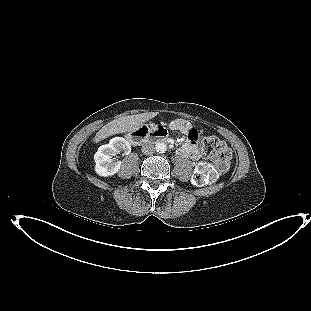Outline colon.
I'll return each instance as SVG.
<instances>
[{
	"label": "colon",
	"instance_id": "5ec220e1",
	"mask_svg": "<svg viewBox=\"0 0 311 311\" xmlns=\"http://www.w3.org/2000/svg\"><path fill=\"white\" fill-rule=\"evenodd\" d=\"M201 150L212 160L213 166L206 163H200L197 166L193 180L199 186L215 181L219 175L228 171L232 160L231 149L215 136L203 138Z\"/></svg>",
	"mask_w": 311,
	"mask_h": 311
}]
</instances>
